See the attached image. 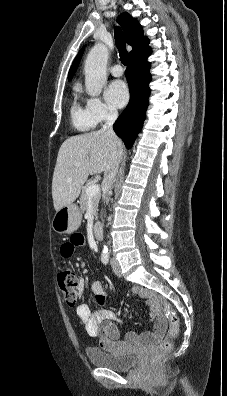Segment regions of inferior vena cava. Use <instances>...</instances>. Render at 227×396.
Returning a JSON list of instances; mask_svg holds the SVG:
<instances>
[{
  "label": "inferior vena cava",
  "instance_id": "602c4592",
  "mask_svg": "<svg viewBox=\"0 0 227 396\" xmlns=\"http://www.w3.org/2000/svg\"><path fill=\"white\" fill-rule=\"evenodd\" d=\"M117 117H118L117 110L109 109L108 114L106 116V122L101 128V132H105L113 140L117 139V136L113 131V124L116 121ZM120 160H121V154H119L116 150H113L111 158L106 166V170L104 171L103 183L106 187V190L110 189L114 183L116 174L118 172ZM103 199L107 201L106 192L103 194Z\"/></svg>",
  "mask_w": 227,
  "mask_h": 396
}]
</instances>
